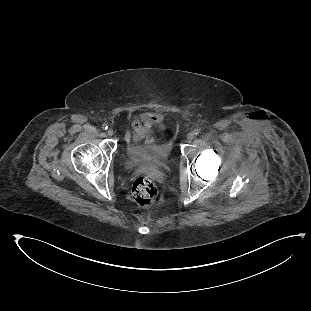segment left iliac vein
<instances>
[{
    "instance_id": "1",
    "label": "left iliac vein",
    "mask_w": 311,
    "mask_h": 311,
    "mask_svg": "<svg viewBox=\"0 0 311 311\" xmlns=\"http://www.w3.org/2000/svg\"><path fill=\"white\" fill-rule=\"evenodd\" d=\"M193 139H194V133H192V132L188 133L187 140L192 141Z\"/></svg>"
}]
</instances>
